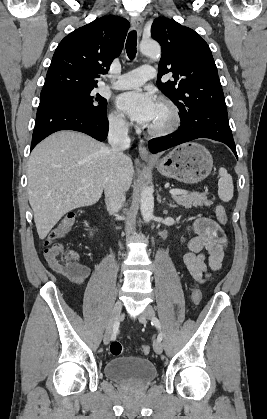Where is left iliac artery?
Returning a JSON list of instances; mask_svg holds the SVG:
<instances>
[{
	"label": "left iliac artery",
	"instance_id": "1",
	"mask_svg": "<svg viewBox=\"0 0 267 419\" xmlns=\"http://www.w3.org/2000/svg\"><path fill=\"white\" fill-rule=\"evenodd\" d=\"M151 323H152V325L156 326L159 329V334H158L157 340L162 341L163 334L161 332V325H160L159 320L156 317H154V318H152Z\"/></svg>",
	"mask_w": 267,
	"mask_h": 419
}]
</instances>
